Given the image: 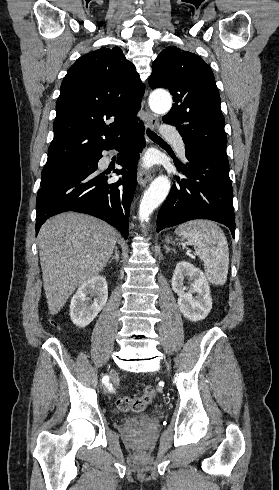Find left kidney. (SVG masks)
<instances>
[{"label": "left kidney", "mask_w": 279, "mask_h": 490, "mask_svg": "<svg viewBox=\"0 0 279 490\" xmlns=\"http://www.w3.org/2000/svg\"><path fill=\"white\" fill-rule=\"evenodd\" d=\"M184 280L192 282L189 290L184 286ZM171 286L173 292L179 296L177 304L184 318L191 322L207 318L212 310V298L207 278L199 268L189 262H179L174 270Z\"/></svg>", "instance_id": "obj_1"}]
</instances>
